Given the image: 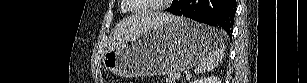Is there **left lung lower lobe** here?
I'll return each instance as SVG.
<instances>
[{"label":"left lung lower lobe","mask_w":307,"mask_h":83,"mask_svg":"<svg viewBox=\"0 0 307 83\" xmlns=\"http://www.w3.org/2000/svg\"><path fill=\"white\" fill-rule=\"evenodd\" d=\"M174 15H183L195 21L221 27L231 36L236 13L235 0H173L166 9Z\"/></svg>","instance_id":"1"}]
</instances>
